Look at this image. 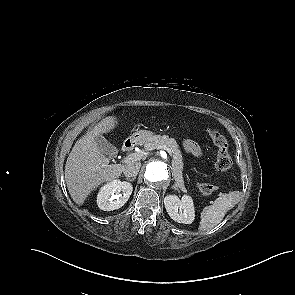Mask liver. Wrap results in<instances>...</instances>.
I'll list each match as a JSON object with an SVG mask.
<instances>
[{
	"mask_svg": "<svg viewBox=\"0 0 295 295\" xmlns=\"http://www.w3.org/2000/svg\"><path fill=\"white\" fill-rule=\"evenodd\" d=\"M116 117H108L88 135L79 139L65 165V181L73 201L83 205L88 195L107 181L121 176L124 165L109 164V159L99 149L95 138L113 130Z\"/></svg>",
	"mask_w": 295,
	"mask_h": 295,
	"instance_id": "obj_1",
	"label": "liver"
}]
</instances>
